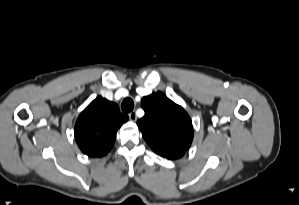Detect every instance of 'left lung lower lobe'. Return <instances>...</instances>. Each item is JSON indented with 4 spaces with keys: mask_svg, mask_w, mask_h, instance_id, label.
Returning <instances> with one entry per match:
<instances>
[{
    "mask_svg": "<svg viewBox=\"0 0 299 205\" xmlns=\"http://www.w3.org/2000/svg\"><path fill=\"white\" fill-rule=\"evenodd\" d=\"M184 152L185 151H171L163 157H166L168 159H178L184 155Z\"/></svg>",
    "mask_w": 299,
    "mask_h": 205,
    "instance_id": "left-lung-lower-lobe-1",
    "label": "left lung lower lobe"
}]
</instances>
